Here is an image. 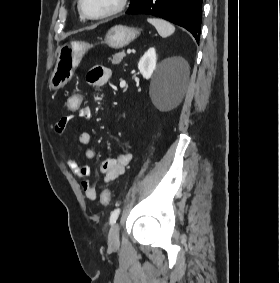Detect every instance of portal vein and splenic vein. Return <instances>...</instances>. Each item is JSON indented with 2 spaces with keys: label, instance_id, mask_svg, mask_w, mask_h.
Masks as SVG:
<instances>
[{
  "label": "portal vein and splenic vein",
  "instance_id": "18ae733b",
  "mask_svg": "<svg viewBox=\"0 0 280 283\" xmlns=\"http://www.w3.org/2000/svg\"><path fill=\"white\" fill-rule=\"evenodd\" d=\"M131 53V49H127V54H130Z\"/></svg>",
  "mask_w": 280,
  "mask_h": 283
}]
</instances>
